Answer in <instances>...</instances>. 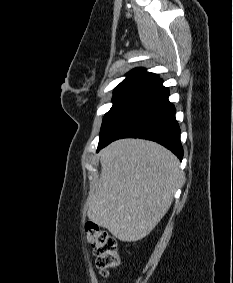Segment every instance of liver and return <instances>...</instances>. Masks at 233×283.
Segmentation results:
<instances>
[{
  "label": "liver",
  "mask_w": 233,
  "mask_h": 283,
  "mask_svg": "<svg viewBox=\"0 0 233 283\" xmlns=\"http://www.w3.org/2000/svg\"><path fill=\"white\" fill-rule=\"evenodd\" d=\"M101 175L87 216L120 241L146 237L169 210L182 180L179 159L152 141L121 139L100 152Z\"/></svg>",
  "instance_id": "1"
}]
</instances>
